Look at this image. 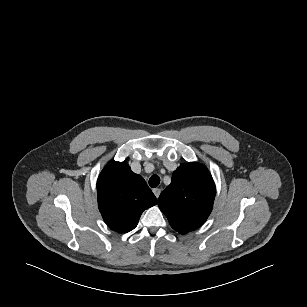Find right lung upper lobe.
<instances>
[{"instance_id": "1", "label": "right lung upper lobe", "mask_w": 307, "mask_h": 307, "mask_svg": "<svg viewBox=\"0 0 307 307\" xmlns=\"http://www.w3.org/2000/svg\"><path fill=\"white\" fill-rule=\"evenodd\" d=\"M99 210L105 223L119 233L133 230L142 212L157 199L142 176L127 162H108L97 180Z\"/></svg>"}]
</instances>
